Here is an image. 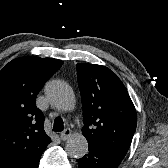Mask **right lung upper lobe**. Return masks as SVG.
<instances>
[{
	"mask_svg": "<svg viewBox=\"0 0 168 168\" xmlns=\"http://www.w3.org/2000/svg\"><path fill=\"white\" fill-rule=\"evenodd\" d=\"M62 64L53 58L20 57L0 71V168H38L51 138L35 101Z\"/></svg>",
	"mask_w": 168,
	"mask_h": 168,
	"instance_id": "obj_1",
	"label": "right lung upper lobe"
}]
</instances>
